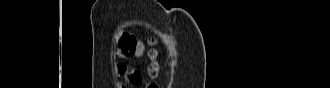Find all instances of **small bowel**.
<instances>
[{
    "label": "small bowel",
    "instance_id": "obj_1",
    "mask_svg": "<svg viewBox=\"0 0 330 88\" xmlns=\"http://www.w3.org/2000/svg\"><path fill=\"white\" fill-rule=\"evenodd\" d=\"M135 51L134 55L136 57L140 56L144 52V48L141 44V42L135 40ZM114 73L119 76L123 77L124 80L132 86H138L142 82V75L141 72L138 69L129 68L124 63H118L114 67Z\"/></svg>",
    "mask_w": 330,
    "mask_h": 88
}]
</instances>
